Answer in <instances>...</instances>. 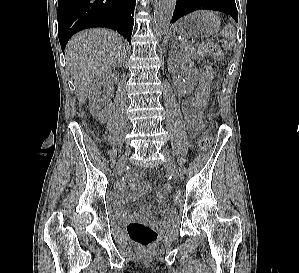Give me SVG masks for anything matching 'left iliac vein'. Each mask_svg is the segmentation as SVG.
<instances>
[{
    "instance_id": "left-iliac-vein-1",
    "label": "left iliac vein",
    "mask_w": 299,
    "mask_h": 273,
    "mask_svg": "<svg viewBox=\"0 0 299 273\" xmlns=\"http://www.w3.org/2000/svg\"><path fill=\"white\" fill-rule=\"evenodd\" d=\"M165 155V161H164V166L167 168L169 173L172 175V177L176 180L179 179V171L176 166V163L172 156L169 154L168 151L162 150L161 151Z\"/></svg>"
}]
</instances>
